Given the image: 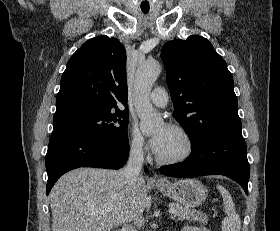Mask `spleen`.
<instances>
[{"instance_id":"obj_1","label":"spleen","mask_w":280,"mask_h":231,"mask_svg":"<svg viewBox=\"0 0 280 231\" xmlns=\"http://www.w3.org/2000/svg\"><path fill=\"white\" fill-rule=\"evenodd\" d=\"M224 203L225 219L222 221V231H240L241 221L238 213L235 211L234 201L227 189L222 185H217Z\"/></svg>"}]
</instances>
